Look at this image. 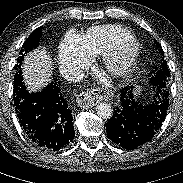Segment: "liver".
<instances>
[{
	"label": "liver",
	"instance_id": "liver-1",
	"mask_svg": "<svg viewBox=\"0 0 183 183\" xmlns=\"http://www.w3.org/2000/svg\"><path fill=\"white\" fill-rule=\"evenodd\" d=\"M50 56L44 48L31 52L23 64L24 83L31 91H37L49 80L51 72Z\"/></svg>",
	"mask_w": 183,
	"mask_h": 183
}]
</instances>
